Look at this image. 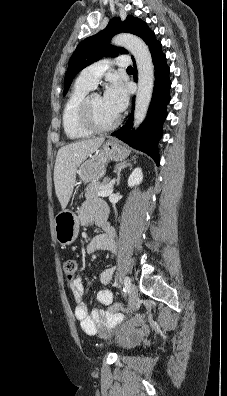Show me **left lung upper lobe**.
Wrapping results in <instances>:
<instances>
[{
	"label": "left lung upper lobe",
	"instance_id": "left-lung-upper-lobe-1",
	"mask_svg": "<svg viewBox=\"0 0 227 396\" xmlns=\"http://www.w3.org/2000/svg\"><path fill=\"white\" fill-rule=\"evenodd\" d=\"M121 32H129L141 37L146 44L155 38L152 32L141 19L132 15L127 16L124 22L120 18L114 17L107 27L86 39L77 46L73 53L65 75V87L63 95H66L73 78L76 74L91 63L101 59L103 56H117L118 53L126 54L124 48H117L110 45L113 35Z\"/></svg>",
	"mask_w": 227,
	"mask_h": 396
}]
</instances>
